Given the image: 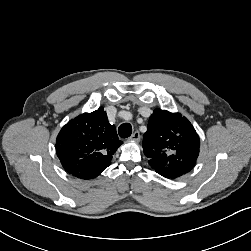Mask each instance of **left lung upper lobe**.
<instances>
[{
    "mask_svg": "<svg viewBox=\"0 0 251 251\" xmlns=\"http://www.w3.org/2000/svg\"><path fill=\"white\" fill-rule=\"evenodd\" d=\"M200 140L192 124L181 114L155 109L143 137L144 154L152 168L176 172L192 169Z\"/></svg>",
    "mask_w": 251,
    "mask_h": 251,
    "instance_id": "obj_1",
    "label": "left lung upper lobe"
}]
</instances>
